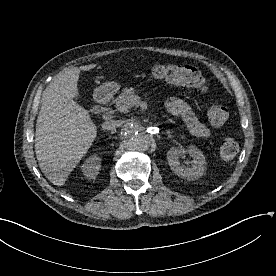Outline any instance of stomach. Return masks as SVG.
Wrapping results in <instances>:
<instances>
[{
    "instance_id": "1",
    "label": "stomach",
    "mask_w": 276,
    "mask_h": 276,
    "mask_svg": "<svg viewBox=\"0 0 276 276\" xmlns=\"http://www.w3.org/2000/svg\"><path fill=\"white\" fill-rule=\"evenodd\" d=\"M120 86L116 82L104 83L95 89L96 97L111 96L119 90Z\"/></svg>"
}]
</instances>
